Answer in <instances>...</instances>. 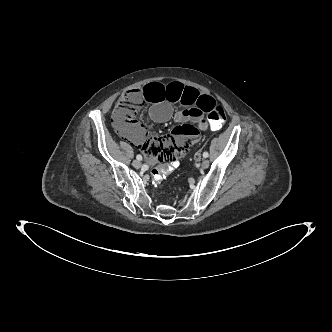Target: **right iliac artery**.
Wrapping results in <instances>:
<instances>
[{
    "label": "right iliac artery",
    "mask_w": 332,
    "mask_h": 332,
    "mask_svg": "<svg viewBox=\"0 0 332 332\" xmlns=\"http://www.w3.org/2000/svg\"><path fill=\"white\" fill-rule=\"evenodd\" d=\"M136 159L139 160V161H141V160H142V156L138 154V155L136 156Z\"/></svg>",
    "instance_id": "82829eb1"
}]
</instances>
